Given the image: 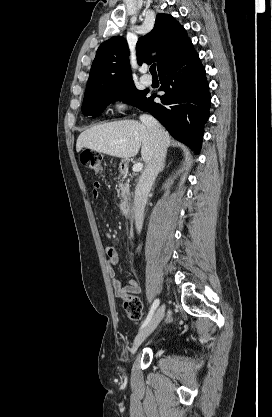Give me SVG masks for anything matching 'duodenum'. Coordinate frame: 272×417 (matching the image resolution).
I'll return each mask as SVG.
<instances>
[{
  "label": "duodenum",
  "mask_w": 272,
  "mask_h": 417,
  "mask_svg": "<svg viewBox=\"0 0 272 417\" xmlns=\"http://www.w3.org/2000/svg\"><path fill=\"white\" fill-rule=\"evenodd\" d=\"M121 170L123 172H126L128 170V164L124 163L121 166ZM120 210L121 213L125 216V217H129L131 214V210H132V202H131V197L129 195H126L123 200L121 201L120 205Z\"/></svg>",
  "instance_id": "obj_1"
}]
</instances>
